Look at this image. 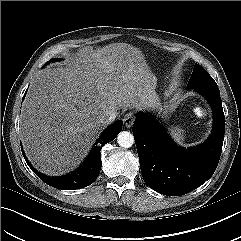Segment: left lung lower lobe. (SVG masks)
<instances>
[{
    "label": "left lung lower lobe",
    "instance_id": "1",
    "mask_svg": "<svg viewBox=\"0 0 241 241\" xmlns=\"http://www.w3.org/2000/svg\"><path fill=\"white\" fill-rule=\"evenodd\" d=\"M209 101L214 115L210 137L184 150L176 146L152 115L139 113L132 127L144 182L168 196L184 195L208 180L218 165L225 117L219 89L195 88Z\"/></svg>",
    "mask_w": 241,
    "mask_h": 241
}]
</instances>
